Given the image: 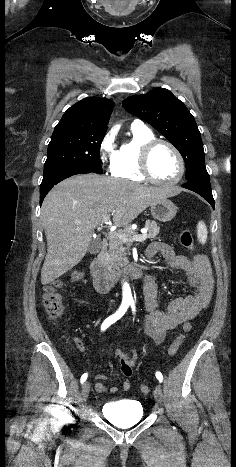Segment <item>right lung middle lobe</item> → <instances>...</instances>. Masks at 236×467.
I'll use <instances>...</instances> for the list:
<instances>
[{
	"instance_id": "obj_1",
	"label": "right lung middle lobe",
	"mask_w": 236,
	"mask_h": 467,
	"mask_svg": "<svg viewBox=\"0 0 236 467\" xmlns=\"http://www.w3.org/2000/svg\"><path fill=\"white\" fill-rule=\"evenodd\" d=\"M106 132L54 129L44 174L63 167H80L102 174L100 145Z\"/></svg>"
}]
</instances>
